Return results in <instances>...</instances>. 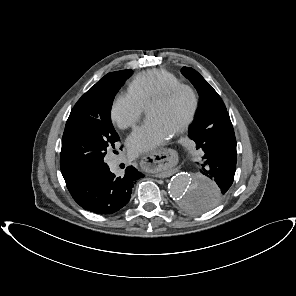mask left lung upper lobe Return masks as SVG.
Masks as SVG:
<instances>
[{"label":"left lung upper lobe","mask_w":296,"mask_h":296,"mask_svg":"<svg viewBox=\"0 0 296 296\" xmlns=\"http://www.w3.org/2000/svg\"><path fill=\"white\" fill-rule=\"evenodd\" d=\"M182 74L194 85L200 97L198 112L189 130L190 139L196 143V148L200 149L204 141L202 133L228 113L220 96L200 73L192 68L183 67ZM192 205L193 202L188 209L191 210Z\"/></svg>","instance_id":"5c2ea615"}]
</instances>
